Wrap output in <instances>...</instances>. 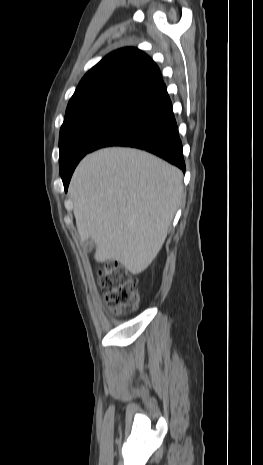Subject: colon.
<instances>
[{"label": "colon", "mask_w": 263, "mask_h": 465, "mask_svg": "<svg viewBox=\"0 0 263 465\" xmlns=\"http://www.w3.org/2000/svg\"><path fill=\"white\" fill-rule=\"evenodd\" d=\"M100 287L106 293V300L115 313L134 307L138 303L137 281L117 263H108L98 271Z\"/></svg>", "instance_id": "1"}]
</instances>
